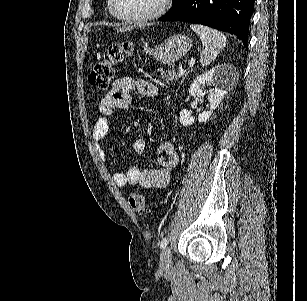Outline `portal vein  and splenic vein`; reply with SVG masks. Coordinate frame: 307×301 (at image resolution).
I'll list each match as a JSON object with an SVG mask.
<instances>
[{"label":"portal vein and splenic vein","mask_w":307,"mask_h":301,"mask_svg":"<svg viewBox=\"0 0 307 301\" xmlns=\"http://www.w3.org/2000/svg\"><path fill=\"white\" fill-rule=\"evenodd\" d=\"M180 76H182V74H185L186 70H184V68H180V70H178Z\"/></svg>","instance_id":"portal-vein-and-splenic-vein-1"}]
</instances>
